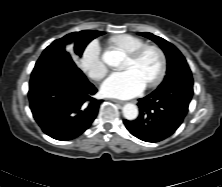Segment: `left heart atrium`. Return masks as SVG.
I'll list each match as a JSON object with an SVG mask.
<instances>
[{
    "instance_id": "1",
    "label": "left heart atrium",
    "mask_w": 222,
    "mask_h": 187,
    "mask_svg": "<svg viewBox=\"0 0 222 187\" xmlns=\"http://www.w3.org/2000/svg\"><path fill=\"white\" fill-rule=\"evenodd\" d=\"M145 83L133 70L128 69L122 72L113 73L102 85L103 95L108 97L128 99L140 94Z\"/></svg>"
}]
</instances>
